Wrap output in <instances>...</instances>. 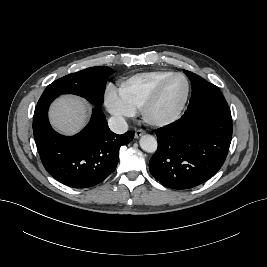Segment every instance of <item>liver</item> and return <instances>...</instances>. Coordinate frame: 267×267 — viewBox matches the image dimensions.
Returning <instances> with one entry per match:
<instances>
[{
	"label": "liver",
	"mask_w": 267,
	"mask_h": 267,
	"mask_svg": "<svg viewBox=\"0 0 267 267\" xmlns=\"http://www.w3.org/2000/svg\"><path fill=\"white\" fill-rule=\"evenodd\" d=\"M49 118L51 125L57 131L65 135H73L88 122V104L75 96L59 97L50 107Z\"/></svg>",
	"instance_id": "obj_1"
}]
</instances>
